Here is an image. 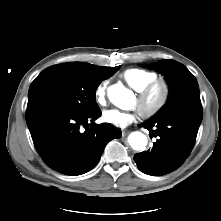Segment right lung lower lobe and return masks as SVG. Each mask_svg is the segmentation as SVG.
<instances>
[{"label": "right lung lower lobe", "instance_id": "98d812e1", "mask_svg": "<svg viewBox=\"0 0 221 221\" xmlns=\"http://www.w3.org/2000/svg\"><path fill=\"white\" fill-rule=\"evenodd\" d=\"M100 116V109L90 113L57 107L26 110V122L43 161L53 170L72 176L90 171L106 144L121 137L110 123L94 124Z\"/></svg>", "mask_w": 221, "mask_h": 221}]
</instances>
